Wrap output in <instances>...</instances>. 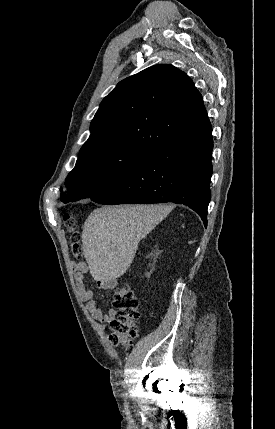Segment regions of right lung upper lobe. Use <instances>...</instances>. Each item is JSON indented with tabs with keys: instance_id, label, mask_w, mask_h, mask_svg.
Segmentation results:
<instances>
[{
	"instance_id": "1",
	"label": "right lung upper lobe",
	"mask_w": 275,
	"mask_h": 429,
	"mask_svg": "<svg viewBox=\"0 0 275 429\" xmlns=\"http://www.w3.org/2000/svg\"><path fill=\"white\" fill-rule=\"evenodd\" d=\"M209 126L202 97L189 76L158 64L122 80L103 99L78 157L113 146L151 154Z\"/></svg>"
}]
</instances>
